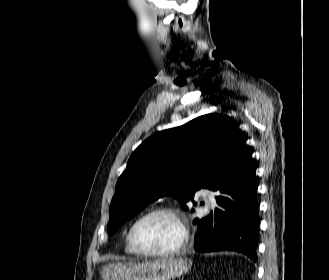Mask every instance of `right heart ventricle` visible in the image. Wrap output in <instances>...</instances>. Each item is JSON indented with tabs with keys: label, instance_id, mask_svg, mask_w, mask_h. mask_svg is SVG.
Returning a JSON list of instances; mask_svg holds the SVG:
<instances>
[{
	"label": "right heart ventricle",
	"instance_id": "right-heart-ventricle-1",
	"mask_svg": "<svg viewBox=\"0 0 329 280\" xmlns=\"http://www.w3.org/2000/svg\"><path fill=\"white\" fill-rule=\"evenodd\" d=\"M125 250L130 255H136L137 252L133 249L130 239H129V231L127 232L126 238H125Z\"/></svg>",
	"mask_w": 329,
	"mask_h": 280
}]
</instances>
